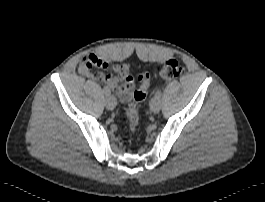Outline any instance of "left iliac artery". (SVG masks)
<instances>
[{"label": "left iliac artery", "mask_w": 265, "mask_h": 202, "mask_svg": "<svg viewBox=\"0 0 265 202\" xmlns=\"http://www.w3.org/2000/svg\"><path fill=\"white\" fill-rule=\"evenodd\" d=\"M161 96H162L161 91H157V92L155 93V97H157V98H161Z\"/></svg>", "instance_id": "obj_1"}]
</instances>
